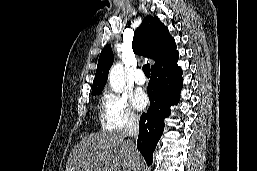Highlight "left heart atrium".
I'll list each match as a JSON object with an SVG mask.
<instances>
[{
    "label": "left heart atrium",
    "instance_id": "1",
    "mask_svg": "<svg viewBox=\"0 0 257 171\" xmlns=\"http://www.w3.org/2000/svg\"><path fill=\"white\" fill-rule=\"evenodd\" d=\"M133 105L138 110H143L148 105V97L143 92H136L132 97Z\"/></svg>",
    "mask_w": 257,
    "mask_h": 171
}]
</instances>
